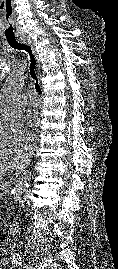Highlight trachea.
<instances>
[{
    "mask_svg": "<svg viewBox=\"0 0 118 269\" xmlns=\"http://www.w3.org/2000/svg\"><path fill=\"white\" fill-rule=\"evenodd\" d=\"M7 41L11 47L18 49V50H25L26 52H28V54L30 56V62H31L30 63V75L36 81L35 88H36L37 92L42 93V90L40 88V85H39V82L37 79L36 60H35L34 54L32 53L31 47L25 43L18 42L16 39H7Z\"/></svg>",
    "mask_w": 118,
    "mask_h": 269,
    "instance_id": "trachea-1",
    "label": "trachea"
}]
</instances>
